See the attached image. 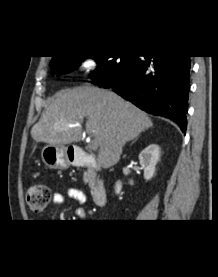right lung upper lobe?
I'll return each mask as SVG.
<instances>
[{
    "label": "right lung upper lobe",
    "mask_w": 218,
    "mask_h": 277,
    "mask_svg": "<svg viewBox=\"0 0 218 277\" xmlns=\"http://www.w3.org/2000/svg\"><path fill=\"white\" fill-rule=\"evenodd\" d=\"M56 57H61V56H53V59L56 58Z\"/></svg>",
    "instance_id": "obj_1"
}]
</instances>
